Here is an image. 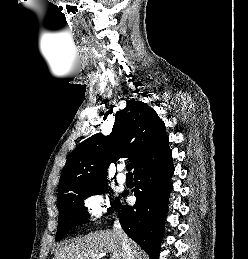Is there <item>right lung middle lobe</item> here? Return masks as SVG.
I'll return each mask as SVG.
<instances>
[{"mask_svg": "<svg viewBox=\"0 0 248 259\" xmlns=\"http://www.w3.org/2000/svg\"><path fill=\"white\" fill-rule=\"evenodd\" d=\"M107 183L101 182L91 186L79 187L71 192L58 197L59 219L55 241H59L72 228L87 223V211L84 207V200L92 195L105 193ZM112 200V199H111ZM111 207L107 213H112L113 208L118 207L119 201L112 200Z\"/></svg>", "mask_w": 248, "mask_h": 259, "instance_id": "1", "label": "right lung middle lobe"}]
</instances>
